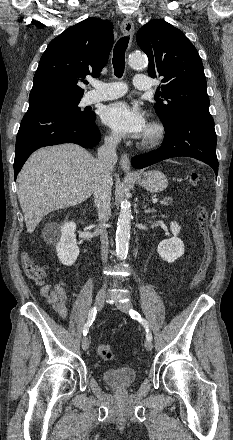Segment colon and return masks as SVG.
I'll use <instances>...</instances> for the list:
<instances>
[{
  "label": "colon",
  "instance_id": "colon-1",
  "mask_svg": "<svg viewBox=\"0 0 233 440\" xmlns=\"http://www.w3.org/2000/svg\"><path fill=\"white\" fill-rule=\"evenodd\" d=\"M189 182L193 186H197L200 183V176L196 172H192L189 175ZM197 224L199 231L203 237V257L199 268L197 269L191 286L197 287L206 277L209 267L213 260L214 247L210 237V231L208 228V210L204 206H200L196 214ZM22 265L25 274L31 280L41 282L45 277L44 269L37 263H35L27 254H23L21 257ZM98 353L104 360H112L114 353L110 345L102 344L98 347Z\"/></svg>",
  "mask_w": 233,
  "mask_h": 440
}]
</instances>
